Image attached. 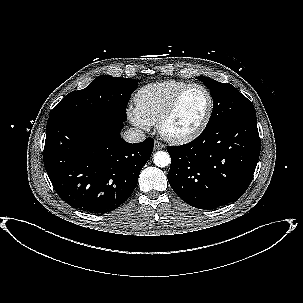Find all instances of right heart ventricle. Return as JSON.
<instances>
[{"instance_id":"1","label":"right heart ventricle","mask_w":303,"mask_h":303,"mask_svg":"<svg viewBox=\"0 0 303 303\" xmlns=\"http://www.w3.org/2000/svg\"><path fill=\"white\" fill-rule=\"evenodd\" d=\"M188 84L185 81L168 80L143 86L135 94V107L151 125L156 124L172 99Z\"/></svg>"}]
</instances>
